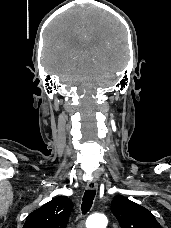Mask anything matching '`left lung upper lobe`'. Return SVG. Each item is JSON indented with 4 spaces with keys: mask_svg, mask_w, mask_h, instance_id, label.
I'll return each mask as SVG.
<instances>
[{
    "mask_svg": "<svg viewBox=\"0 0 171 228\" xmlns=\"http://www.w3.org/2000/svg\"><path fill=\"white\" fill-rule=\"evenodd\" d=\"M111 211L121 228H161L150 211L122 195L114 197Z\"/></svg>",
    "mask_w": 171,
    "mask_h": 228,
    "instance_id": "obj_1",
    "label": "left lung upper lobe"
}]
</instances>
